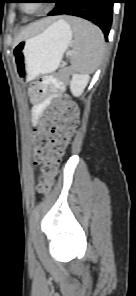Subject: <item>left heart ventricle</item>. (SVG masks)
Returning <instances> with one entry per match:
<instances>
[{
	"mask_svg": "<svg viewBox=\"0 0 136 296\" xmlns=\"http://www.w3.org/2000/svg\"><path fill=\"white\" fill-rule=\"evenodd\" d=\"M24 6L27 11H33L37 8L38 3H25Z\"/></svg>",
	"mask_w": 136,
	"mask_h": 296,
	"instance_id": "obj_1",
	"label": "left heart ventricle"
}]
</instances>
